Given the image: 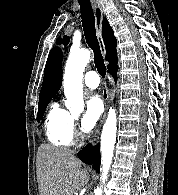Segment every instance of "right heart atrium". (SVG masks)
<instances>
[{"mask_svg":"<svg viewBox=\"0 0 178 195\" xmlns=\"http://www.w3.org/2000/svg\"><path fill=\"white\" fill-rule=\"evenodd\" d=\"M72 133H73V135H75V136H78L79 134H78V131H77V129H76V125H75V121L73 120L72 121Z\"/></svg>","mask_w":178,"mask_h":195,"instance_id":"1","label":"right heart atrium"}]
</instances>
